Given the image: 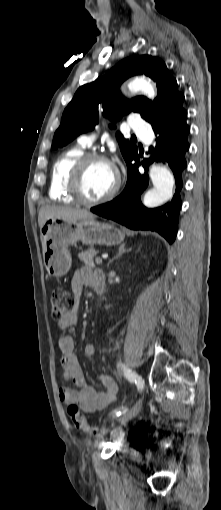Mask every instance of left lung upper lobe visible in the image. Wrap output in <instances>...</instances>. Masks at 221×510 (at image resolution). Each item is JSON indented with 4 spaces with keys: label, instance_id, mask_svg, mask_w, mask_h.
Listing matches in <instances>:
<instances>
[{
    "label": "left lung upper lobe",
    "instance_id": "1",
    "mask_svg": "<svg viewBox=\"0 0 221 510\" xmlns=\"http://www.w3.org/2000/svg\"><path fill=\"white\" fill-rule=\"evenodd\" d=\"M145 74L157 85L158 95L151 101L144 96L126 100L119 93L121 83L134 75ZM184 95L177 88L176 79L170 75L165 63L150 55L128 57L114 66L104 77L81 86L65 108L60 127L54 134L52 148L68 144L79 134L94 129L102 114L119 120L131 111L140 113L152 126L175 119L185 113ZM115 128V126H114ZM122 155L128 163L138 154L136 145L116 134Z\"/></svg>",
    "mask_w": 221,
    "mask_h": 510
}]
</instances>
